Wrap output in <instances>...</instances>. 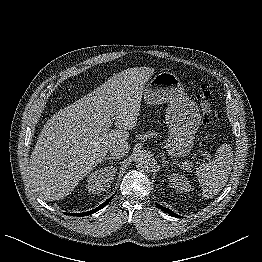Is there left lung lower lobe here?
I'll use <instances>...</instances> for the list:
<instances>
[{"label":"left lung lower lobe","mask_w":262,"mask_h":262,"mask_svg":"<svg viewBox=\"0 0 262 262\" xmlns=\"http://www.w3.org/2000/svg\"><path fill=\"white\" fill-rule=\"evenodd\" d=\"M156 206H157L159 209L163 210L164 212H167V213L170 214L171 216L181 217L180 215L175 214V213H174L173 211H171L170 209L165 208V207H162L161 205H159V204H157V203H156ZM181 218H182V217H181Z\"/></svg>","instance_id":"left-lung-lower-lobe-1"}]
</instances>
